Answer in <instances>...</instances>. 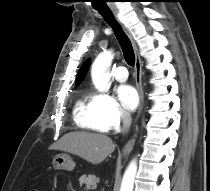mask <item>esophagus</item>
<instances>
[{"label": "esophagus", "instance_id": "esophagus-1", "mask_svg": "<svg viewBox=\"0 0 210 191\" xmlns=\"http://www.w3.org/2000/svg\"><path fill=\"white\" fill-rule=\"evenodd\" d=\"M111 10H112L117 22L120 24V26L122 27L124 32L130 38L133 48H134V52H135V81H136V87H137L139 97H140V104H139L138 115H137V118H139L142 113L143 104H144V91H143V86H142V62H141L140 56L138 54V49H137L136 43H135L130 31L128 30V28L119 19L117 9L115 7H111ZM134 142H135V139L131 138L124 146L122 154H124V155L129 154L133 148Z\"/></svg>", "mask_w": 210, "mask_h": 191}]
</instances>
